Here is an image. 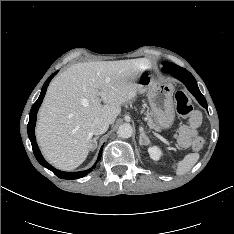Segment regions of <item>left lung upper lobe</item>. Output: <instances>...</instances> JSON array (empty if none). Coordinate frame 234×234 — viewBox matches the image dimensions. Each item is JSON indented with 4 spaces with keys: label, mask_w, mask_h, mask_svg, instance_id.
<instances>
[{
    "label": "left lung upper lobe",
    "mask_w": 234,
    "mask_h": 234,
    "mask_svg": "<svg viewBox=\"0 0 234 234\" xmlns=\"http://www.w3.org/2000/svg\"><path fill=\"white\" fill-rule=\"evenodd\" d=\"M163 69L167 71V69L169 68H175L177 67V65L173 64V63H169V62H163Z\"/></svg>",
    "instance_id": "obj_1"
}]
</instances>
